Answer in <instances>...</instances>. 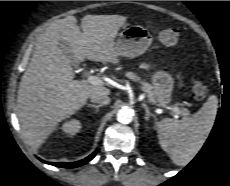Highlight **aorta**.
<instances>
[{
  "instance_id": "762f6f07",
  "label": "aorta",
  "mask_w": 230,
  "mask_h": 186,
  "mask_svg": "<svg viewBox=\"0 0 230 186\" xmlns=\"http://www.w3.org/2000/svg\"><path fill=\"white\" fill-rule=\"evenodd\" d=\"M117 120L120 123L128 124L133 120V111L129 108H122L117 113Z\"/></svg>"
}]
</instances>
